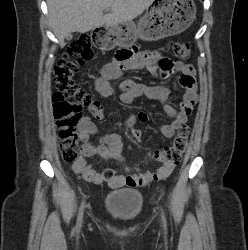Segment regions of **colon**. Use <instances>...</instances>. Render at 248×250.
I'll return each instance as SVG.
<instances>
[{"instance_id":"obj_1","label":"colon","mask_w":248,"mask_h":250,"mask_svg":"<svg viewBox=\"0 0 248 250\" xmlns=\"http://www.w3.org/2000/svg\"><path fill=\"white\" fill-rule=\"evenodd\" d=\"M94 37L83 34L68 47L67 52L58 61L55 69V82L58 91L53 95V111L60 140V150L65 162L76 163L81 156L77 125L83 108H93L98 102L87 94L74 80L79 68L94 58ZM170 48L176 57L187 59L190 56V44L172 42ZM130 56V49L117 54V60L122 62ZM189 111V109L187 110ZM190 128L182 126L172 144L162 150L164 158L171 164H178L188 147ZM135 140L140 139V132L132 133Z\"/></svg>"}]
</instances>
